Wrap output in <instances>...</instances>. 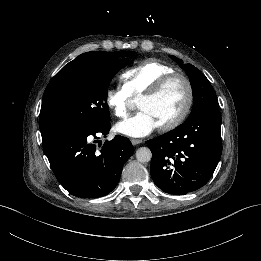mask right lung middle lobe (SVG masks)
Returning a JSON list of instances; mask_svg holds the SVG:
<instances>
[{
  "instance_id": "right-lung-middle-lobe-1",
  "label": "right lung middle lobe",
  "mask_w": 261,
  "mask_h": 261,
  "mask_svg": "<svg viewBox=\"0 0 261 261\" xmlns=\"http://www.w3.org/2000/svg\"><path fill=\"white\" fill-rule=\"evenodd\" d=\"M134 54L127 52L125 56ZM132 63L126 59H81L62 68L51 80L52 104L60 129H95L110 120L106 103L111 79L122 67ZM42 141L53 135L41 132Z\"/></svg>"
}]
</instances>
